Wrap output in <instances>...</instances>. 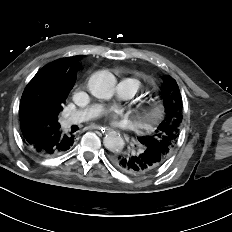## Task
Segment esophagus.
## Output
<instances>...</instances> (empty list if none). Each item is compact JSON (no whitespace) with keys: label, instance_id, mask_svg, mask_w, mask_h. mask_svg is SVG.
Listing matches in <instances>:
<instances>
[{"label":"esophagus","instance_id":"obj_1","mask_svg":"<svg viewBox=\"0 0 232 232\" xmlns=\"http://www.w3.org/2000/svg\"><path fill=\"white\" fill-rule=\"evenodd\" d=\"M92 128L101 131L103 134L109 130L106 127H102L98 125H94Z\"/></svg>","mask_w":232,"mask_h":232}]
</instances>
